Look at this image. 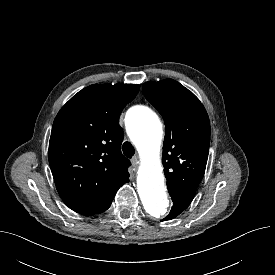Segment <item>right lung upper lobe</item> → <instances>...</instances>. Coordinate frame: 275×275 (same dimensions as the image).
I'll return each instance as SVG.
<instances>
[{
  "mask_svg": "<svg viewBox=\"0 0 275 275\" xmlns=\"http://www.w3.org/2000/svg\"><path fill=\"white\" fill-rule=\"evenodd\" d=\"M139 85H90L57 114L49 142V164L57 191L73 211L93 215L107 210L129 181L130 161L121 153L123 108Z\"/></svg>",
  "mask_w": 275,
  "mask_h": 275,
  "instance_id": "obj_1",
  "label": "right lung upper lobe"
}]
</instances>
